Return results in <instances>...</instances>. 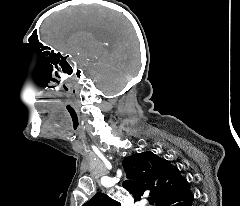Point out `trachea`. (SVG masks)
Wrapping results in <instances>:
<instances>
[{
	"label": "trachea",
	"mask_w": 240,
	"mask_h": 206,
	"mask_svg": "<svg viewBox=\"0 0 240 206\" xmlns=\"http://www.w3.org/2000/svg\"><path fill=\"white\" fill-rule=\"evenodd\" d=\"M154 202H155V199H154L153 197H150V198H149V203H150L151 205H153Z\"/></svg>",
	"instance_id": "3493384b"
}]
</instances>
